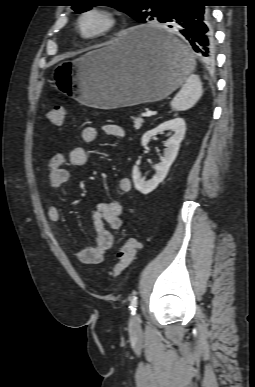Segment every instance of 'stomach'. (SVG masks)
Wrapping results in <instances>:
<instances>
[{"instance_id":"1","label":"stomach","mask_w":255,"mask_h":387,"mask_svg":"<svg viewBox=\"0 0 255 387\" xmlns=\"http://www.w3.org/2000/svg\"><path fill=\"white\" fill-rule=\"evenodd\" d=\"M165 31L141 25L121 32L104 47L54 69V82L61 91L83 105L113 109L156 102L186 81L194 62L188 47L175 35L168 36L183 50L171 57L144 41L143 34Z\"/></svg>"}]
</instances>
